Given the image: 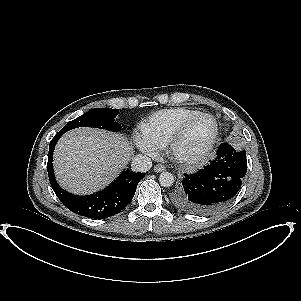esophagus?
<instances>
[{
	"mask_svg": "<svg viewBox=\"0 0 301 301\" xmlns=\"http://www.w3.org/2000/svg\"><path fill=\"white\" fill-rule=\"evenodd\" d=\"M165 169H166L165 166L162 164H156L153 168L154 172H157V173L162 172Z\"/></svg>",
	"mask_w": 301,
	"mask_h": 301,
	"instance_id": "obj_1",
	"label": "esophagus"
}]
</instances>
